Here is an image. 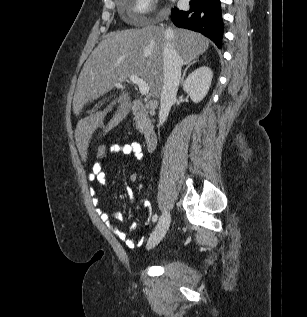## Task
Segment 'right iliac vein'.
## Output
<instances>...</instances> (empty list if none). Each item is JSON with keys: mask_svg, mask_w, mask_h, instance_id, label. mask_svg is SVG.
Masks as SVG:
<instances>
[{"mask_svg": "<svg viewBox=\"0 0 307 317\" xmlns=\"http://www.w3.org/2000/svg\"><path fill=\"white\" fill-rule=\"evenodd\" d=\"M171 221V216L168 211H164L160 217L158 224L156 225L153 233L148 241V247L152 248L156 246L165 236Z\"/></svg>", "mask_w": 307, "mask_h": 317, "instance_id": "1", "label": "right iliac vein"}]
</instances>
